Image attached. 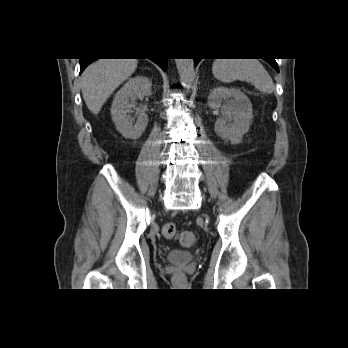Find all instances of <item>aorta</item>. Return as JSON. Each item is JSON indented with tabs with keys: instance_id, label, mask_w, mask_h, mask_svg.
Returning <instances> with one entry per match:
<instances>
[{
	"instance_id": "762f6f07",
	"label": "aorta",
	"mask_w": 348,
	"mask_h": 348,
	"mask_svg": "<svg viewBox=\"0 0 348 348\" xmlns=\"http://www.w3.org/2000/svg\"><path fill=\"white\" fill-rule=\"evenodd\" d=\"M175 62L180 76L181 85L186 89H190L195 80L194 60L175 59Z\"/></svg>"
}]
</instances>
